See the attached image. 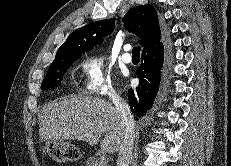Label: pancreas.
Returning <instances> with one entry per match:
<instances>
[{
    "label": "pancreas",
    "instance_id": "pancreas-1",
    "mask_svg": "<svg viewBox=\"0 0 231 166\" xmlns=\"http://www.w3.org/2000/svg\"><path fill=\"white\" fill-rule=\"evenodd\" d=\"M85 166H108L107 161H102L99 157H89Z\"/></svg>",
    "mask_w": 231,
    "mask_h": 166
}]
</instances>
